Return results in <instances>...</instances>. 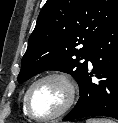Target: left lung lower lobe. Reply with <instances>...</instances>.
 I'll return each instance as SVG.
<instances>
[{
    "label": "left lung lower lobe",
    "instance_id": "1",
    "mask_svg": "<svg viewBox=\"0 0 118 123\" xmlns=\"http://www.w3.org/2000/svg\"><path fill=\"white\" fill-rule=\"evenodd\" d=\"M89 61L92 72L87 68L79 101L63 121L90 116L118 119V18L98 38ZM93 74L97 82H92Z\"/></svg>",
    "mask_w": 118,
    "mask_h": 123
}]
</instances>
